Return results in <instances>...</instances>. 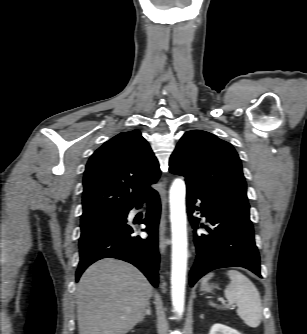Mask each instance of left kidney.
<instances>
[{"label":"left kidney","instance_id":"1","mask_svg":"<svg viewBox=\"0 0 307 334\" xmlns=\"http://www.w3.org/2000/svg\"><path fill=\"white\" fill-rule=\"evenodd\" d=\"M209 334H241L240 332L222 324H214Z\"/></svg>","mask_w":307,"mask_h":334}]
</instances>
